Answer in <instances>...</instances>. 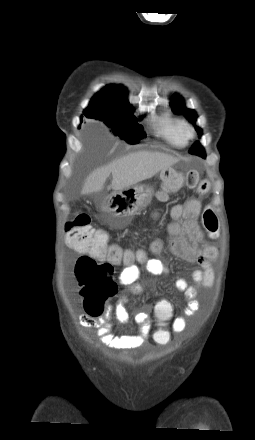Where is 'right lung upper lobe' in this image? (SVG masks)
<instances>
[{
  "instance_id": "cb5924a9",
  "label": "right lung upper lobe",
  "mask_w": 255,
  "mask_h": 440,
  "mask_svg": "<svg viewBox=\"0 0 255 440\" xmlns=\"http://www.w3.org/2000/svg\"><path fill=\"white\" fill-rule=\"evenodd\" d=\"M107 106H126L130 105L126 100V89L120 85H110L98 92L91 100Z\"/></svg>"
}]
</instances>
